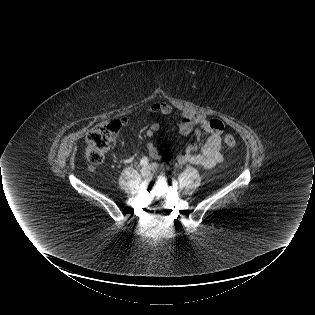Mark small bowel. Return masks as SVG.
I'll return each mask as SVG.
<instances>
[{"label": "small bowel", "instance_id": "c3829d8e", "mask_svg": "<svg viewBox=\"0 0 315 315\" xmlns=\"http://www.w3.org/2000/svg\"><path fill=\"white\" fill-rule=\"evenodd\" d=\"M147 111L169 115L172 113V107L167 103H155L149 106ZM117 121L120 122L121 127L128 123L127 118H121ZM159 128V123L152 122L145 132L146 136L153 137ZM223 129L224 124L219 119H209L205 115H196L186 110L182 111L181 120L177 124V131L183 136L193 134L195 142L188 145L182 153L175 155V159L180 164H194L205 168H213L223 160L221 144ZM204 134L207 137L203 141ZM146 149L151 158L156 160L161 158V154L153 142H148Z\"/></svg>", "mask_w": 315, "mask_h": 315}]
</instances>
